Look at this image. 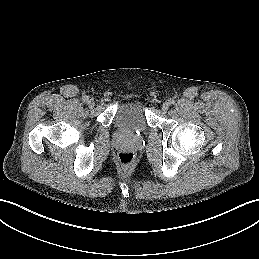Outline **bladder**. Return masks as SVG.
Masks as SVG:
<instances>
[{
    "instance_id": "obj_1",
    "label": "bladder",
    "mask_w": 259,
    "mask_h": 259,
    "mask_svg": "<svg viewBox=\"0 0 259 259\" xmlns=\"http://www.w3.org/2000/svg\"><path fill=\"white\" fill-rule=\"evenodd\" d=\"M115 123L122 130L145 132L148 125L143 104L136 100L126 101L118 109Z\"/></svg>"
}]
</instances>
